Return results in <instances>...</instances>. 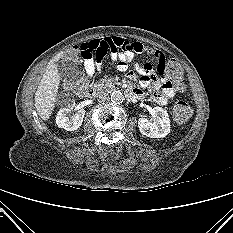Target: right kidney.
<instances>
[{"label":"right kidney","mask_w":233,"mask_h":233,"mask_svg":"<svg viewBox=\"0 0 233 233\" xmlns=\"http://www.w3.org/2000/svg\"><path fill=\"white\" fill-rule=\"evenodd\" d=\"M75 102L72 101L71 105L68 107L62 108L57 116H56V124L59 128L64 129L66 131H74L80 128L83 122V118L85 115V110L80 109L72 116V119L68 117V115L73 110Z\"/></svg>","instance_id":"ca27d5eb"}]
</instances>
